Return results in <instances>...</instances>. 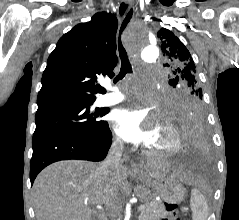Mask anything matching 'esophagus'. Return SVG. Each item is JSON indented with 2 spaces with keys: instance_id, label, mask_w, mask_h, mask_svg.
<instances>
[{
  "instance_id": "34e87169",
  "label": "esophagus",
  "mask_w": 239,
  "mask_h": 220,
  "mask_svg": "<svg viewBox=\"0 0 239 220\" xmlns=\"http://www.w3.org/2000/svg\"><path fill=\"white\" fill-rule=\"evenodd\" d=\"M122 1H123V2H122V4H121L120 10H119V12H120L121 15L124 14L126 7H127L128 5H130L131 3H133L134 0H122ZM131 167H132V169L135 170V171H139V170H140L139 165L136 164V163H132Z\"/></svg>"
}]
</instances>
